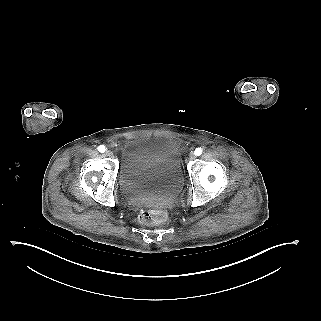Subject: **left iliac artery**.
Returning <instances> with one entry per match:
<instances>
[{
  "label": "left iliac artery",
  "instance_id": "44dca946",
  "mask_svg": "<svg viewBox=\"0 0 321 321\" xmlns=\"http://www.w3.org/2000/svg\"><path fill=\"white\" fill-rule=\"evenodd\" d=\"M201 153H202V148H196V150H195V155H201Z\"/></svg>",
  "mask_w": 321,
  "mask_h": 321
}]
</instances>
